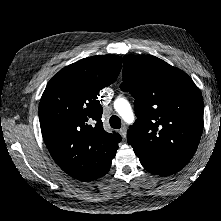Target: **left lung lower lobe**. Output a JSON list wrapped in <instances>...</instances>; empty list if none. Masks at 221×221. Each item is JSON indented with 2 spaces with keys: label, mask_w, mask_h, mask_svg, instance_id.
<instances>
[{
  "label": "left lung lower lobe",
  "mask_w": 221,
  "mask_h": 221,
  "mask_svg": "<svg viewBox=\"0 0 221 221\" xmlns=\"http://www.w3.org/2000/svg\"><path fill=\"white\" fill-rule=\"evenodd\" d=\"M143 167L152 174L168 176L181 170L184 166L152 155L136 153Z\"/></svg>",
  "instance_id": "1"
}]
</instances>
